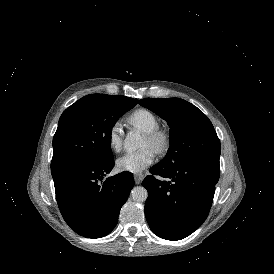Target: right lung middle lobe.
<instances>
[{"label":"right lung middle lobe","instance_id":"right-lung-middle-lobe-1","mask_svg":"<svg viewBox=\"0 0 274 274\" xmlns=\"http://www.w3.org/2000/svg\"><path fill=\"white\" fill-rule=\"evenodd\" d=\"M138 100L121 95L81 98L59 119L51 170L74 163L100 165L113 160L112 127Z\"/></svg>","mask_w":274,"mask_h":274}]
</instances>
